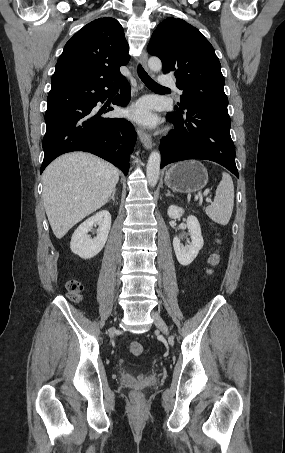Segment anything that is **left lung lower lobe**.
Masks as SVG:
<instances>
[{
	"mask_svg": "<svg viewBox=\"0 0 285 453\" xmlns=\"http://www.w3.org/2000/svg\"><path fill=\"white\" fill-rule=\"evenodd\" d=\"M175 110L177 113L167 114L175 130L159 146L160 167L187 159H204L221 164L239 177L227 108L194 103Z\"/></svg>",
	"mask_w": 285,
	"mask_h": 453,
	"instance_id": "obj_1",
	"label": "left lung lower lobe"
}]
</instances>
